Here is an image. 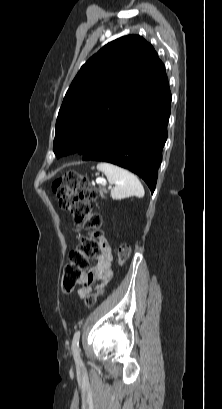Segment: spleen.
Wrapping results in <instances>:
<instances>
[{
    "label": "spleen",
    "mask_w": 222,
    "mask_h": 409,
    "mask_svg": "<svg viewBox=\"0 0 222 409\" xmlns=\"http://www.w3.org/2000/svg\"><path fill=\"white\" fill-rule=\"evenodd\" d=\"M97 169L106 175L109 183L115 185L111 189L113 199L121 200L131 196L142 198L144 196L145 192L141 182L126 169L106 162L99 163Z\"/></svg>",
    "instance_id": "1"
}]
</instances>
